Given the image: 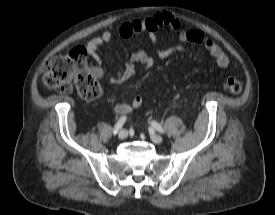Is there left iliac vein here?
<instances>
[{"label": "left iliac vein", "instance_id": "left-iliac-vein-1", "mask_svg": "<svg viewBox=\"0 0 275 215\" xmlns=\"http://www.w3.org/2000/svg\"><path fill=\"white\" fill-rule=\"evenodd\" d=\"M151 140L156 144H161L163 142V138L160 135L157 134H150Z\"/></svg>", "mask_w": 275, "mask_h": 215}]
</instances>
